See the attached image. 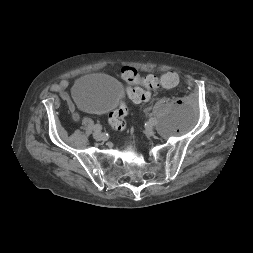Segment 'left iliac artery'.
<instances>
[{
    "instance_id": "left-iliac-artery-1",
    "label": "left iliac artery",
    "mask_w": 253,
    "mask_h": 253,
    "mask_svg": "<svg viewBox=\"0 0 253 253\" xmlns=\"http://www.w3.org/2000/svg\"><path fill=\"white\" fill-rule=\"evenodd\" d=\"M156 124H157L156 120L152 118V119H150L149 122L147 123V126H149V125H154V126H155Z\"/></svg>"
}]
</instances>
